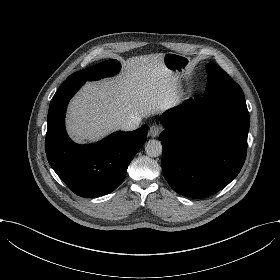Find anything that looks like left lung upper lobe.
<instances>
[{
	"mask_svg": "<svg viewBox=\"0 0 280 280\" xmlns=\"http://www.w3.org/2000/svg\"><path fill=\"white\" fill-rule=\"evenodd\" d=\"M206 70L208 76L205 95L236 85V82L218 65L214 63H208L206 65Z\"/></svg>",
	"mask_w": 280,
	"mask_h": 280,
	"instance_id": "1",
	"label": "left lung upper lobe"
}]
</instances>
